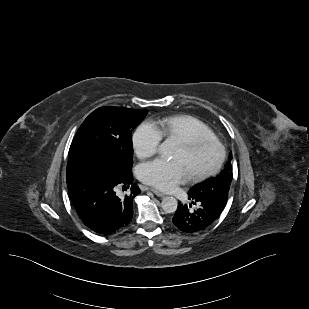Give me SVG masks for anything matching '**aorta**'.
Masks as SVG:
<instances>
[{"instance_id":"1","label":"aorta","mask_w":309,"mask_h":309,"mask_svg":"<svg viewBox=\"0 0 309 309\" xmlns=\"http://www.w3.org/2000/svg\"><path fill=\"white\" fill-rule=\"evenodd\" d=\"M175 144L171 139H166L160 146L163 154L171 156L174 150ZM177 200L174 197H164L161 202V207L166 213H174L177 210Z\"/></svg>"}]
</instances>
